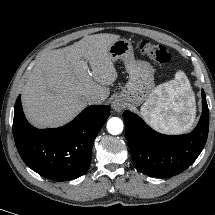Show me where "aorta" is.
I'll return each instance as SVG.
<instances>
[{
  "mask_svg": "<svg viewBox=\"0 0 215 215\" xmlns=\"http://www.w3.org/2000/svg\"><path fill=\"white\" fill-rule=\"evenodd\" d=\"M107 130L112 135H118L123 130V122L120 118L113 117L107 122Z\"/></svg>",
  "mask_w": 215,
  "mask_h": 215,
  "instance_id": "aorta-1",
  "label": "aorta"
}]
</instances>
